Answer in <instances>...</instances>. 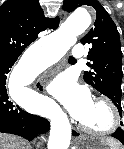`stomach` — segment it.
<instances>
[{
  "instance_id": "0dacf381",
  "label": "stomach",
  "mask_w": 124,
  "mask_h": 149,
  "mask_svg": "<svg viewBox=\"0 0 124 149\" xmlns=\"http://www.w3.org/2000/svg\"><path fill=\"white\" fill-rule=\"evenodd\" d=\"M78 146L79 149H116L111 140H98L86 135L79 136Z\"/></svg>"
}]
</instances>
